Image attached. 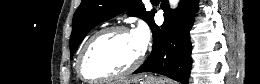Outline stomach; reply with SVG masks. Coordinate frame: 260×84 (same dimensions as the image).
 Here are the masks:
<instances>
[{"label": "stomach", "instance_id": "obj_1", "mask_svg": "<svg viewBox=\"0 0 260 84\" xmlns=\"http://www.w3.org/2000/svg\"><path fill=\"white\" fill-rule=\"evenodd\" d=\"M134 84H170V81L163 77L149 75L135 81Z\"/></svg>", "mask_w": 260, "mask_h": 84}]
</instances>
